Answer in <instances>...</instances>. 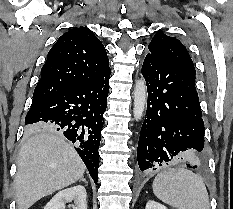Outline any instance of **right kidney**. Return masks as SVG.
I'll return each mask as SVG.
<instances>
[{
	"label": "right kidney",
	"instance_id": "obj_1",
	"mask_svg": "<svg viewBox=\"0 0 233 209\" xmlns=\"http://www.w3.org/2000/svg\"><path fill=\"white\" fill-rule=\"evenodd\" d=\"M87 193L82 185H76L58 192L44 209H65L67 202H74L73 209H87Z\"/></svg>",
	"mask_w": 233,
	"mask_h": 209
}]
</instances>
